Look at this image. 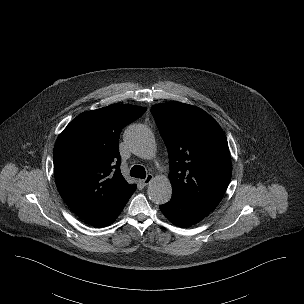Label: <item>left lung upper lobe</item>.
<instances>
[{"label": "left lung upper lobe", "instance_id": "obj_1", "mask_svg": "<svg viewBox=\"0 0 304 304\" xmlns=\"http://www.w3.org/2000/svg\"><path fill=\"white\" fill-rule=\"evenodd\" d=\"M170 160L172 196L213 210L231 179L226 136L204 110L179 102L151 107Z\"/></svg>", "mask_w": 304, "mask_h": 304}]
</instances>
